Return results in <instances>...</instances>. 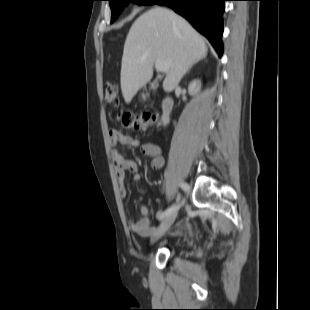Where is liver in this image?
<instances>
[{"label": "liver", "mask_w": 310, "mask_h": 310, "mask_svg": "<svg viewBox=\"0 0 310 310\" xmlns=\"http://www.w3.org/2000/svg\"><path fill=\"white\" fill-rule=\"evenodd\" d=\"M207 54L203 37L174 12L155 7L143 13L127 35L121 63V90L129 104L153 76L156 61L170 63L163 81L173 91L191 65Z\"/></svg>", "instance_id": "1"}]
</instances>
